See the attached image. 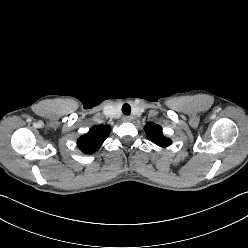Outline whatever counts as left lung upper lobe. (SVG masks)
Segmentation results:
<instances>
[{
    "label": "left lung upper lobe",
    "instance_id": "obj_1",
    "mask_svg": "<svg viewBox=\"0 0 248 248\" xmlns=\"http://www.w3.org/2000/svg\"><path fill=\"white\" fill-rule=\"evenodd\" d=\"M145 132L148 139L158 146L166 147L171 144V140L163 136L161 126L155 123H148L145 126Z\"/></svg>",
    "mask_w": 248,
    "mask_h": 248
}]
</instances>
